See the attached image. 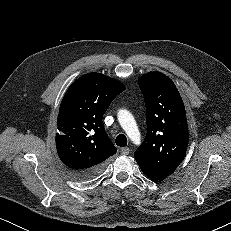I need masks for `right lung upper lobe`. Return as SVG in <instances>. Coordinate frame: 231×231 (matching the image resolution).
I'll return each instance as SVG.
<instances>
[{"mask_svg":"<svg viewBox=\"0 0 231 231\" xmlns=\"http://www.w3.org/2000/svg\"><path fill=\"white\" fill-rule=\"evenodd\" d=\"M125 86L100 73H88L66 91L58 114L56 148L61 161L72 172L103 168L117 152L102 121L114 98Z\"/></svg>","mask_w":231,"mask_h":231,"instance_id":"1","label":"right lung upper lobe"}]
</instances>
